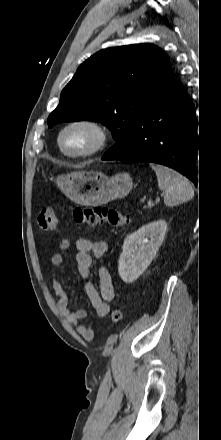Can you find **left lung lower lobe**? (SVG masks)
Here are the masks:
<instances>
[{
	"mask_svg": "<svg viewBox=\"0 0 221 440\" xmlns=\"http://www.w3.org/2000/svg\"><path fill=\"white\" fill-rule=\"evenodd\" d=\"M195 108L173 78L139 117L128 147L102 160L154 162L173 168L197 184L193 153L198 149Z\"/></svg>",
	"mask_w": 221,
	"mask_h": 440,
	"instance_id": "left-lung-lower-lobe-1",
	"label": "left lung lower lobe"
}]
</instances>
